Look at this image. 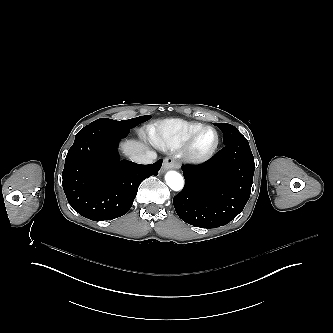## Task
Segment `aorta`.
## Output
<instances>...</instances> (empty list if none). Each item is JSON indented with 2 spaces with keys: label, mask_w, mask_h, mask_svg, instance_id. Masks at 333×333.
I'll use <instances>...</instances> for the list:
<instances>
[{
  "label": "aorta",
  "mask_w": 333,
  "mask_h": 333,
  "mask_svg": "<svg viewBox=\"0 0 333 333\" xmlns=\"http://www.w3.org/2000/svg\"><path fill=\"white\" fill-rule=\"evenodd\" d=\"M165 181L173 191H180L184 187V178L177 171H168L165 175Z\"/></svg>",
  "instance_id": "obj_1"
}]
</instances>
